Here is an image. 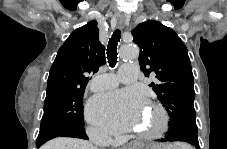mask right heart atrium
<instances>
[{"label": "right heart atrium", "instance_id": "obj_1", "mask_svg": "<svg viewBox=\"0 0 227 149\" xmlns=\"http://www.w3.org/2000/svg\"><path fill=\"white\" fill-rule=\"evenodd\" d=\"M87 133L97 144H105L107 142L106 134L97 127H88Z\"/></svg>", "mask_w": 227, "mask_h": 149}]
</instances>
